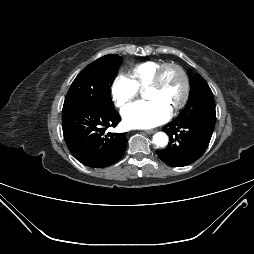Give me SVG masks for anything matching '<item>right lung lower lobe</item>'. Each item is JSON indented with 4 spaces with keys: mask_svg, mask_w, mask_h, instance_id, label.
<instances>
[{
    "mask_svg": "<svg viewBox=\"0 0 254 254\" xmlns=\"http://www.w3.org/2000/svg\"><path fill=\"white\" fill-rule=\"evenodd\" d=\"M120 116L115 109L105 110L64 101L62 128L71 154L88 167H107L125 152L127 139L120 133H107L116 127Z\"/></svg>",
    "mask_w": 254,
    "mask_h": 254,
    "instance_id": "98d812e1",
    "label": "right lung lower lobe"
}]
</instances>
